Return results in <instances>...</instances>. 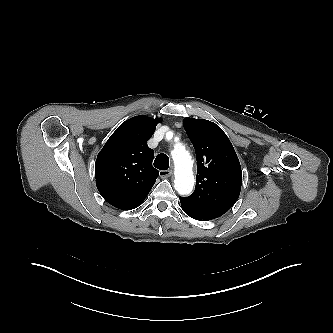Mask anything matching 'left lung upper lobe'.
Segmentation results:
<instances>
[{
	"mask_svg": "<svg viewBox=\"0 0 333 333\" xmlns=\"http://www.w3.org/2000/svg\"><path fill=\"white\" fill-rule=\"evenodd\" d=\"M185 130L197 158L195 191L180 202L222 216L237 201L242 171L235 150L224 131L205 119L185 118Z\"/></svg>",
	"mask_w": 333,
	"mask_h": 333,
	"instance_id": "1",
	"label": "left lung upper lobe"
}]
</instances>
